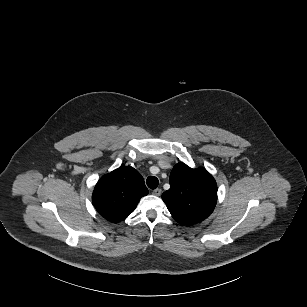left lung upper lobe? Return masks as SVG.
<instances>
[{
	"label": "left lung upper lobe",
	"mask_w": 307,
	"mask_h": 307,
	"mask_svg": "<svg viewBox=\"0 0 307 307\" xmlns=\"http://www.w3.org/2000/svg\"><path fill=\"white\" fill-rule=\"evenodd\" d=\"M169 182L170 189L162 194V199L178 223L196 224L212 213L217 202V185L204 168L192 169L178 163Z\"/></svg>",
	"instance_id": "5c2ea615"
}]
</instances>
